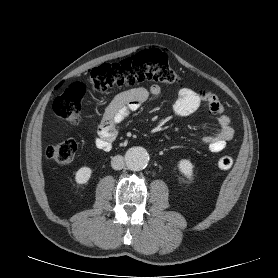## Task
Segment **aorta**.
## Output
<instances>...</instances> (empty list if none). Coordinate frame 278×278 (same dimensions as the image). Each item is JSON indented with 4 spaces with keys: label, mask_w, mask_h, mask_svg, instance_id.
Segmentation results:
<instances>
[{
    "label": "aorta",
    "mask_w": 278,
    "mask_h": 278,
    "mask_svg": "<svg viewBox=\"0 0 278 278\" xmlns=\"http://www.w3.org/2000/svg\"><path fill=\"white\" fill-rule=\"evenodd\" d=\"M127 167L132 171H140L148 165L149 155L142 147H132L125 154Z\"/></svg>",
    "instance_id": "1"
}]
</instances>
